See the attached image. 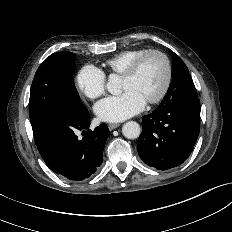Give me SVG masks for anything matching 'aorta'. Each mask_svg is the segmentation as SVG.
<instances>
[{"label":"aorta","instance_id":"aorta-1","mask_svg":"<svg viewBox=\"0 0 232 232\" xmlns=\"http://www.w3.org/2000/svg\"><path fill=\"white\" fill-rule=\"evenodd\" d=\"M107 89L113 95L121 93V82L117 75L109 76ZM122 133L128 139H136L141 133L140 125L135 121H128L123 125Z\"/></svg>","mask_w":232,"mask_h":232}]
</instances>
